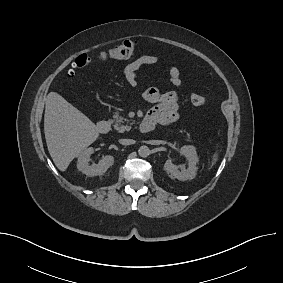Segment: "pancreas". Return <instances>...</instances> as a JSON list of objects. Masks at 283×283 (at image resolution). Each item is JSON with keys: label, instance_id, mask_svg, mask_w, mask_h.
<instances>
[{"label": "pancreas", "instance_id": "1", "mask_svg": "<svg viewBox=\"0 0 283 283\" xmlns=\"http://www.w3.org/2000/svg\"><path fill=\"white\" fill-rule=\"evenodd\" d=\"M114 120H115L114 128L119 132L129 131L131 129L132 123H130L126 118L120 116L118 113L114 115ZM125 122L126 125H124ZM187 136L189 137L190 134L187 133Z\"/></svg>", "mask_w": 283, "mask_h": 283}]
</instances>
